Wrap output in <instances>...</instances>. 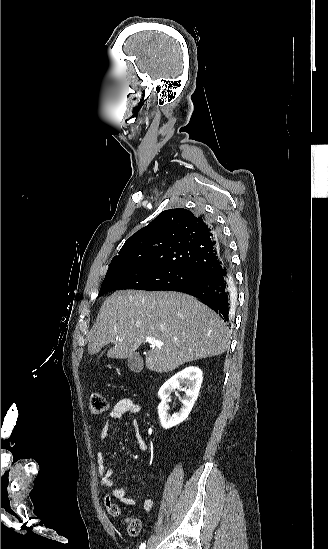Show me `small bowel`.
Here are the masks:
<instances>
[{
	"instance_id": "small-bowel-1",
	"label": "small bowel",
	"mask_w": 328,
	"mask_h": 549,
	"mask_svg": "<svg viewBox=\"0 0 328 549\" xmlns=\"http://www.w3.org/2000/svg\"><path fill=\"white\" fill-rule=\"evenodd\" d=\"M141 410V406L135 402L134 400L130 398H123L120 399L114 407L111 409L108 420L106 424L103 426L100 432L99 439L100 441L105 440L111 430L112 423L118 419H121L126 414H137ZM133 425L136 430V438L139 445V448L142 452H145L147 449L146 442L142 435L139 432L138 424L136 421L133 422ZM96 460L98 464V474L101 477V484L111 489V495L119 500L121 503L125 505H134L136 503V500L128 495V491L123 488H117L114 486L113 482V470L108 467L105 463L104 454L102 452L96 453ZM153 506V501L151 499H147L143 503V509L145 511L151 510Z\"/></svg>"
}]
</instances>
